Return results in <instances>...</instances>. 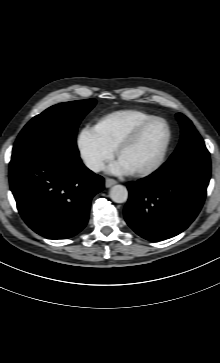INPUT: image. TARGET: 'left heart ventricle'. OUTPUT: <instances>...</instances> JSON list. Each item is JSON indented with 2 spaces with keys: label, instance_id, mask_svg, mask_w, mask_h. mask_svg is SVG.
Returning a JSON list of instances; mask_svg holds the SVG:
<instances>
[{
  "label": "left heart ventricle",
  "instance_id": "b2bd125f",
  "mask_svg": "<svg viewBox=\"0 0 220 363\" xmlns=\"http://www.w3.org/2000/svg\"><path fill=\"white\" fill-rule=\"evenodd\" d=\"M167 130L163 123L157 122L146 128L137 140L124 149L118 159L126 163L132 171L153 164L166 141Z\"/></svg>",
  "mask_w": 220,
  "mask_h": 363
}]
</instances>
